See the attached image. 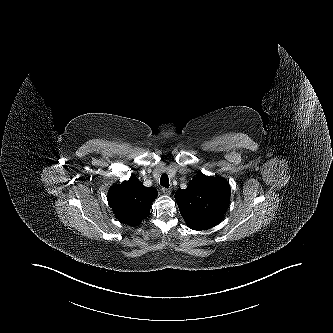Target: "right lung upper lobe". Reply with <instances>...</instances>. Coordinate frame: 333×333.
I'll return each mask as SVG.
<instances>
[{
  "instance_id": "cb5924a9",
  "label": "right lung upper lobe",
  "mask_w": 333,
  "mask_h": 333,
  "mask_svg": "<svg viewBox=\"0 0 333 333\" xmlns=\"http://www.w3.org/2000/svg\"><path fill=\"white\" fill-rule=\"evenodd\" d=\"M157 195L154 187H145L137 178L130 177L128 181L111 187L108 203L120 222L134 226L149 215Z\"/></svg>"
}]
</instances>
